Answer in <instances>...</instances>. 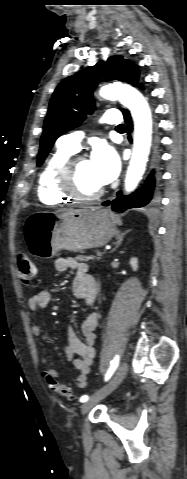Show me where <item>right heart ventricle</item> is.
I'll use <instances>...</instances> for the list:
<instances>
[{"instance_id": "e07e8e85", "label": "right heart ventricle", "mask_w": 187, "mask_h": 479, "mask_svg": "<svg viewBox=\"0 0 187 479\" xmlns=\"http://www.w3.org/2000/svg\"><path fill=\"white\" fill-rule=\"evenodd\" d=\"M75 154L60 144L47 159L38 179L37 195L39 200L46 205L67 203L72 199L61 192L59 177L65 163Z\"/></svg>"}]
</instances>
